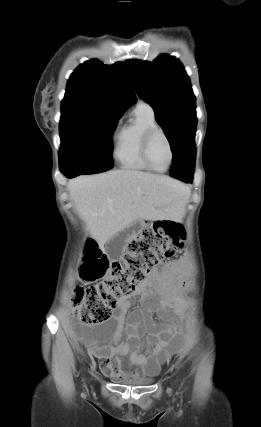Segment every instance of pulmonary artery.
<instances>
[{
	"mask_svg": "<svg viewBox=\"0 0 261 427\" xmlns=\"http://www.w3.org/2000/svg\"><path fill=\"white\" fill-rule=\"evenodd\" d=\"M137 106L141 107V108H144V109H146V110H148L150 112H153L152 107L148 103H146L144 101H140Z\"/></svg>",
	"mask_w": 261,
	"mask_h": 427,
	"instance_id": "e3ab8cb5",
	"label": "pulmonary artery"
}]
</instances>
